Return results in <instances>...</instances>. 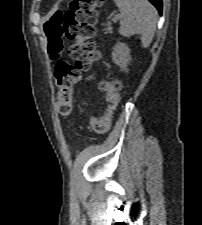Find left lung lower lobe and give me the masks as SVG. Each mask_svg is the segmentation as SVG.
<instances>
[{
	"instance_id": "1",
	"label": "left lung lower lobe",
	"mask_w": 202,
	"mask_h": 225,
	"mask_svg": "<svg viewBox=\"0 0 202 225\" xmlns=\"http://www.w3.org/2000/svg\"><path fill=\"white\" fill-rule=\"evenodd\" d=\"M157 9L158 12L161 14L162 12V0H149Z\"/></svg>"
}]
</instances>
